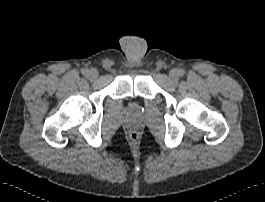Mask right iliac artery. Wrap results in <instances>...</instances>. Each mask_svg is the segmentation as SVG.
I'll use <instances>...</instances> for the list:
<instances>
[{
    "label": "right iliac artery",
    "instance_id": "82829eb1",
    "mask_svg": "<svg viewBox=\"0 0 265 202\" xmlns=\"http://www.w3.org/2000/svg\"><path fill=\"white\" fill-rule=\"evenodd\" d=\"M82 74H83L84 76L88 77V75H89V70H88V69H84V70H82Z\"/></svg>",
    "mask_w": 265,
    "mask_h": 202
}]
</instances>
